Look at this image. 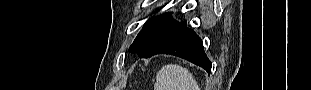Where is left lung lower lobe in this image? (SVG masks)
Here are the masks:
<instances>
[{"mask_svg": "<svg viewBox=\"0 0 311 90\" xmlns=\"http://www.w3.org/2000/svg\"><path fill=\"white\" fill-rule=\"evenodd\" d=\"M186 21L178 23L152 50L148 57L156 54H170L184 58L211 72L201 39L189 29Z\"/></svg>", "mask_w": 311, "mask_h": 90, "instance_id": "left-lung-lower-lobe-1", "label": "left lung lower lobe"}]
</instances>
